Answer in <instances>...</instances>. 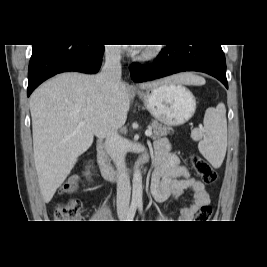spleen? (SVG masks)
<instances>
[{
	"label": "spleen",
	"instance_id": "3e777b00",
	"mask_svg": "<svg viewBox=\"0 0 267 267\" xmlns=\"http://www.w3.org/2000/svg\"><path fill=\"white\" fill-rule=\"evenodd\" d=\"M204 128L205 135L199 142V151L213 167L218 168L224 160L227 147L226 109L223 103L205 113Z\"/></svg>",
	"mask_w": 267,
	"mask_h": 267
}]
</instances>
